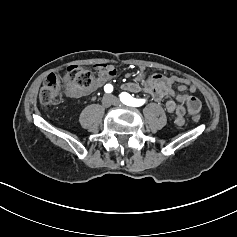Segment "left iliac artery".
I'll list each match as a JSON object with an SVG mask.
<instances>
[{
  "label": "left iliac artery",
  "instance_id": "1",
  "mask_svg": "<svg viewBox=\"0 0 237 237\" xmlns=\"http://www.w3.org/2000/svg\"><path fill=\"white\" fill-rule=\"evenodd\" d=\"M120 100L122 103H124L127 106H132V107H139L142 106L145 103L144 99H136L133 98L129 93L127 92H122L120 95Z\"/></svg>",
  "mask_w": 237,
  "mask_h": 237
}]
</instances>
